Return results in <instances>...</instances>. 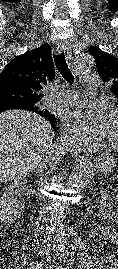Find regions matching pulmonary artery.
Instances as JSON below:
<instances>
[{
  "label": "pulmonary artery",
  "mask_w": 118,
  "mask_h": 269,
  "mask_svg": "<svg viewBox=\"0 0 118 269\" xmlns=\"http://www.w3.org/2000/svg\"><path fill=\"white\" fill-rule=\"evenodd\" d=\"M84 84L87 87V89L94 90L99 86L100 80L96 76H90L85 78ZM80 98L81 96L78 92L69 91L66 93L65 96L53 98V102L55 104L66 106L77 103L80 100Z\"/></svg>",
  "instance_id": "1"
}]
</instances>
